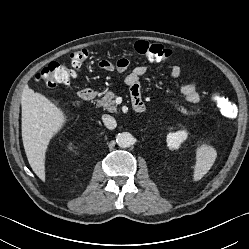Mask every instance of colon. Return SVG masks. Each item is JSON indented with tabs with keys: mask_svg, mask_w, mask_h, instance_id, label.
Masks as SVG:
<instances>
[{
	"mask_svg": "<svg viewBox=\"0 0 249 249\" xmlns=\"http://www.w3.org/2000/svg\"><path fill=\"white\" fill-rule=\"evenodd\" d=\"M134 51L147 58L152 62H164L171 53L168 49L159 44H152L147 41H138L134 44ZM86 50H77L70 54L69 65L53 62L37 74L36 79L44 83L48 87H55L58 84H66L72 78L77 76L82 66L88 59ZM212 101L216 103L220 112L225 118H231L226 112L227 106H232L231 101L221 96L218 92H214L211 96Z\"/></svg>",
	"mask_w": 249,
	"mask_h": 249,
	"instance_id": "5ec220e1",
	"label": "colon"
}]
</instances>
